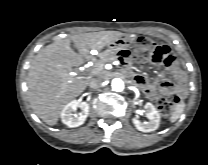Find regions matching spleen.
I'll return each instance as SVG.
<instances>
[{
	"instance_id": "obj_1",
	"label": "spleen",
	"mask_w": 208,
	"mask_h": 165,
	"mask_svg": "<svg viewBox=\"0 0 208 165\" xmlns=\"http://www.w3.org/2000/svg\"><path fill=\"white\" fill-rule=\"evenodd\" d=\"M184 109H185V103L183 101L179 102L175 106L174 111L171 114L170 122L171 123L176 122L179 119V117L181 116V114L184 112Z\"/></svg>"
}]
</instances>
